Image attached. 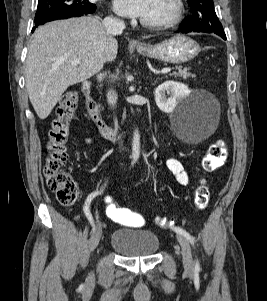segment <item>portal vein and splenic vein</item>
I'll use <instances>...</instances> for the list:
<instances>
[{"label":"portal vein and splenic vein","instance_id":"obj_1","mask_svg":"<svg viewBox=\"0 0 267 301\" xmlns=\"http://www.w3.org/2000/svg\"><path fill=\"white\" fill-rule=\"evenodd\" d=\"M79 60L78 59H75L74 61H72V65L73 66H76V65H78L79 64ZM169 72H171V68H169V67H166V68H163V69H161V71H160V73L161 74H167V73H169Z\"/></svg>","mask_w":267,"mask_h":301}]
</instances>
